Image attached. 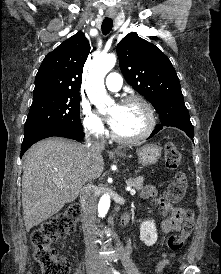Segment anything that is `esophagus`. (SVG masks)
I'll return each instance as SVG.
<instances>
[{
	"mask_svg": "<svg viewBox=\"0 0 221 274\" xmlns=\"http://www.w3.org/2000/svg\"><path fill=\"white\" fill-rule=\"evenodd\" d=\"M109 17H112V15L110 14V15H108Z\"/></svg>",
	"mask_w": 221,
	"mask_h": 274,
	"instance_id": "obj_1",
	"label": "esophagus"
}]
</instances>
